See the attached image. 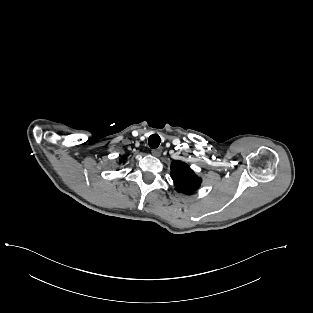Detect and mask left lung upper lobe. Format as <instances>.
<instances>
[{
	"instance_id": "obj_1",
	"label": "left lung upper lobe",
	"mask_w": 313,
	"mask_h": 313,
	"mask_svg": "<svg viewBox=\"0 0 313 313\" xmlns=\"http://www.w3.org/2000/svg\"><path fill=\"white\" fill-rule=\"evenodd\" d=\"M171 178L175 189L186 195L193 194L202 182V179L186 163L181 161H174L171 164Z\"/></svg>"
}]
</instances>
